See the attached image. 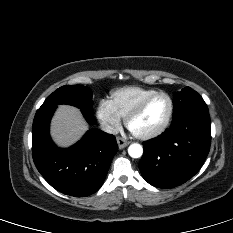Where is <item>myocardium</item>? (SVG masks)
<instances>
[{"label": "myocardium", "instance_id": "myocardium-1", "mask_svg": "<svg viewBox=\"0 0 233 233\" xmlns=\"http://www.w3.org/2000/svg\"><path fill=\"white\" fill-rule=\"evenodd\" d=\"M158 96H164L167 98L168 102H169V112L168 115L164 121V123L155 131L149 132V133H145V134H139V133H135L131 130L130 128V123L131 121L138 116L144 109L145 107L156 97ZM174 114V101L172 99V97L163 91H157L147 97H145L142 101H140L129 113L128 115L125 117V124L126 127L131 131V133L138 139L141 140H149V139H153L156 138L160 135H162L167 128L169 127L172 117Z\"/></svg>", "mask_w": 233, "mask_h": 233}]
</instances>
